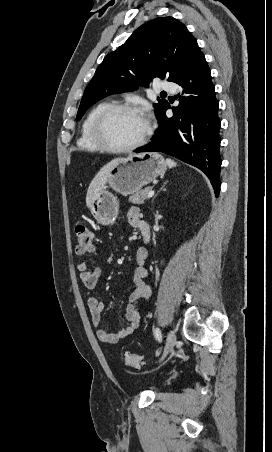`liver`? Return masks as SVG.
<instances>
[{
	"mask_svg": "<svg viewBox=\"0 0 272 452\" xmlns=\"http://www.w3.org/2000/svg\"><path fill=\"white\" fill-rule=\"evenodd\" d=\"M119 160V158L112 160L108 164H106L100 171L96 174V176L91 181L87 194H86V205L88 208L91 207L94 198L98 195V193L103 189L107 178L109 176L110 170L114 166V164Z\"/></svg>",
	"mask_w": 272,
	"mask_h": 452,
	"instance_id": "1",
	"label": "liver"
}]
</instances>
